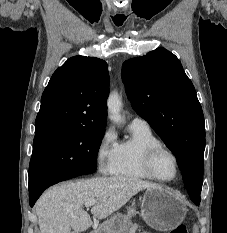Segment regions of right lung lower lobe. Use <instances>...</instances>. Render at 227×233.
<instances>
[{
  "label": "right lung lower lobe",
  "mask_w": 227,
  "mask_h": 233,
  "mask_svg": "<svg viewBox=\"0 0 227 233\" xmlns=\"http://www.w3.org/2000/svg\"><path fill=\"white\" fill-rule=\"evenodd\" d=\"M77 176H80V174L61 175V176L46 178L41 180L34 186L29 187L30 206L33 207V205L35 204L39 196L42 194V192L49 186Z\"/></svg>",
  "instance_id": "1"
}]
</instances>
